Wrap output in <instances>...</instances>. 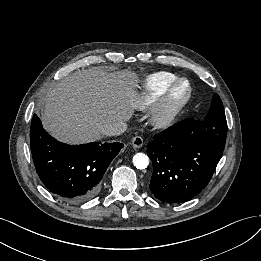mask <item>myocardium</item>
I'll list each match as a JSON object with an SVG mask.
<instances>
[{"label":"myocardium","instance_id":"myocardium-1","mask_svg":"<svg viewBox=\"0 0 261 261\" xmlns=\"http://www.w3.org/2000/svg\"><path fill=\"white\" fill-rule=\"evenodd\" d=\"M182 83L186 84V92L180 99H175V92ZM191 94L192 87L187 78L181 77L174 80L166 89L153 110L151 116L152 125L160 130L172 127L189 102Z\"/></svg>","mask_w":261,"mask_h":261}]
</instances>
